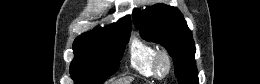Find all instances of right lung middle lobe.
<instances>
[{
	"instance_id": "right-lung-middle-lobe-1",
	"label": "right lung middle lobe",
	"mask_w": 260,
	"mask_h": 84,
	"mask_svg": "<svg viewBox=\"0 0 260 84\" xmlns=\"http://www.w3.org/2000/svg\"><path fill=\"white\" fill-rule=\"evenodd\" d=\"M129 36L130 31L73 45L70 73L75 84H102L115 73Z\"/></svg>"
}]
</instances>
